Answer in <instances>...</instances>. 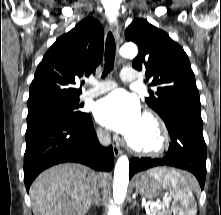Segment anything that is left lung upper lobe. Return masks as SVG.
I'll return each mask as SVG.
<instances>
[{
  "instance_id": "obj_1",
  "label": "left lung upper lobe",
  "mask_w": 221,
  "mask_h": 215,
  "mask_svg": "<svg viewBox=\"0 0 221 215\" xmlns=\"http://www.w3.org/2000/svg\"><path fill=\"white\" fill-rule=\"evenodd\" d=\"M127 41L135 42L139 54L132 66L146 69V81L157 91L145 100L161 118L171 106H185L201 111L199 91L188 56L163 30L147 20L136 18L125 31Z\"/></svg>"
}]
</instances>
